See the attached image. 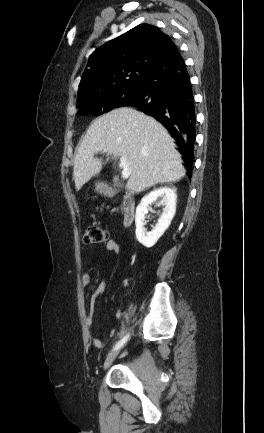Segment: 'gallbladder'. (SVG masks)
Instances as JSON below:
<instances>
[{"label": "gallbladder", "instance_id": "bac80fb5", "mask_svg": "<svg viewBox=\"0 0 264 433\" xmlns=\"http://www.w3.org/2000/svg\"><path fill=\"white\" fill-rule=\"evenodd\" d=\"M114 186H115L116 188L121 187V185H120V184H117V183H116Z\"/></svg>", "mask_w": 264, "mask_h": 433}]
</instances>
